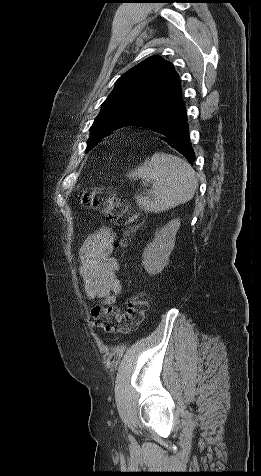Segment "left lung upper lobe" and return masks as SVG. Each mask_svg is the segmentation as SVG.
<instances>
[{
	"label": "left lung upper lobe",
	"mask_w": 261,
	"mask_h": 476,
	"mask_svg": "<svg viewBox=\"0 0 261 476\" xmlns=\"http://www.w3.org/2000/svg\"><path fill=\"white\" fill-rule=\"evenodd\" d=\"M115 84L90 128L86 150L96 145L109 129L158 116L182 100L179 76L173 65L159 56L134 66Z\"/></svg>",
	"instance_id": "1"
}]
</instances>
